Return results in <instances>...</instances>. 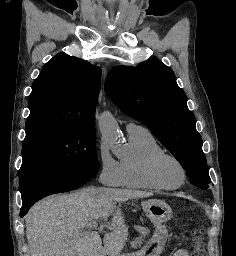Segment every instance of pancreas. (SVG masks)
I'll use <instances>...</instances> for the list:
<instances>
[{
  "instance_id": "cf45deb5",
  "label": "pancreas",
  "mask_w": 236,
  "mask_h": 256,
  "mask_svg": "<svg viewBox=\"0 0 236 256\" xmlns=\"http://www.w3.org/2000/svg\"><path fill=\"white\" fill-rule=\"evenodd\" d=\"M137 230L140 232L141 238L131 239V243L126 244L127 246L130 245V249H133V247H139L141 243H145L146 240L145 238H142V236H147V234H149L147 227H139Z\"/></svg>"
}]
</instances>
